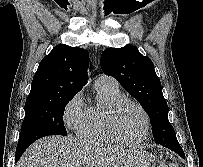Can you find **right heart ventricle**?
Masks as SVG:
<instances>
[{
	"mask_svg": "<svg viewBox=\"0 0 203 167\" xmlns=\"http://www.w3.org/2000/svg\"><path fill=\"white\" fill-rule=\"evenodd\" d=\"M97 101L86 107L83 118L78 126L77 134L80 139L93 143L119 144L106 129V117L115 102L124 95L115 84L97 86Z\"/></svg>",
	"mask_w": 203,
	"mask_h": 167,
	"instance_id": "obj_1",
	"label": "right heart ventricle"
}]
</instances>
